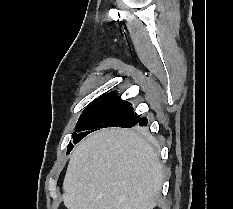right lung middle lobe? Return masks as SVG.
<instances>
[{"mask_svg": "<svg viewBox=\"0 0 233 209\" xmlns=\"http://www.w3.org/2000/svg\"><path fill=\"white\" fill-rule=\"evenodd\" d=\"M140 117L133 113V107L129 103H100L88 105L81 114L76 132L72 134L74 144L83 139L92 129L125 126L131 128L135 126ZM74 145L70 142L67 153Z\"/></svg>", "mask_w": 233, "mask_h": 209, "instance_id": "right-lung-middle-lobe-1", "label": "right lung middle lobe"}]
</instances>
